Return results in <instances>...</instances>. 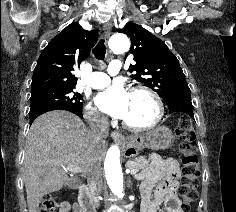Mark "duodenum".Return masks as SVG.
<instances>
[{
  "mask_svg": "<svg viewBox=\"0 0 236 212\" xmlns=\"http://www.w3.org/2000/svg\"><path fill=\"white\" fill-rule=\"evenodd\" d=\"M78 200L81 209L80 212H96V208L92 201L89 188L84 183L79 186Z\"/></svg>",
  "mask_w": 236,
  "mask_h": 212,
  "instance_id": "410a0bca",
  "label": "duodenum"
}]
</instances>
